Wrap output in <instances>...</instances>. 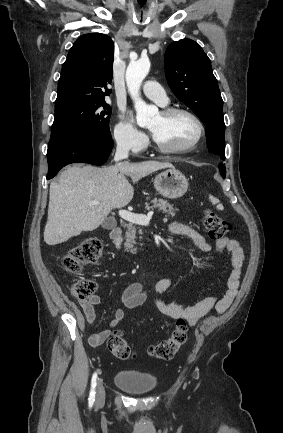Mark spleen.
I'll list each match as a JSON object with an SVG mask.
<instances>
[{
  "label": "spleen",
  "instance_id": "3e777b00",
  "mask_svg": "<svg viewBox=\"0 0 283 433\" xmlns=\"http://www.w3.org/2000/svg\"><path fill=\"white\" fill-rule=\"evenodd\" d=\"M209 198L212 204H217L216 208H220V210H222L223 204H219L220 202L219 198H215V196H212V194H209Z\"/></svg>",
  "mask_w": 283,
  "mask_h": 433
}]
</instances>
